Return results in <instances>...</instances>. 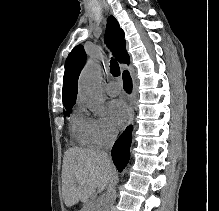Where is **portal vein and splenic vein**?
<instances>
[{
  "label": "portal vein and splenic vein",
  "mask_w": 219,
  "mask_h": 211,
  "mask_svg": "<svg viewBox=\"0 0 219 211\" xmlns=\"http://www.w3.org/2000/svg\"><path fill=\"white\" fill-rule=\"evenodd\" d=\"M92 201H93V203H96V205H97V203H99V199H92Z\"/></svg>",
  "instance_id": "portal-vein-and-splenic-vein-1"
}]
</instances>
